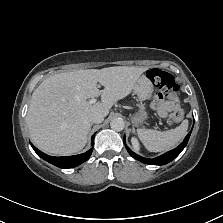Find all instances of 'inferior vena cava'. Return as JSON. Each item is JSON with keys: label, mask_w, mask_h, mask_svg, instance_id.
<instances>
[{"label": "inferior vena cava", "mask_w": 223, "mask_h": 223, "mask_svg": "<svg viewBox=\"0 0 223 223\" xmlns=\"http://www.w3.org/2000/svg\"><path fill=\"white\" fill-rule=\"evenodd\" d=\"M89 119L94 123H101L104 120V115L100 111H94L90 114Z\"/></svg>", "instance_id": "1"}]
</instances>
